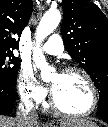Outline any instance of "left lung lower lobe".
<instances>
[{
    "instance_id": "left-lung-lower-lobe-1",
    "label": "left lung lower lobe",
    "mask_w": 108,
    "mask_h": 127,
    "mask_svg": "<svg viewBox=\"0 0 108 127\" xmlns=\"http://www.w3.org/2000/svg\"><path fill=\"white\" fill-rule=\"evenodd\" d=\"M97 114L108 123V109L103 107H98Z\"/></svg>"
}]
</instances>
